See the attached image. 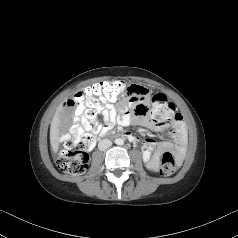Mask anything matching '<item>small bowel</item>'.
Instances as JSON below:
<instances>
[{"label": "small bowel", "mask_w": 238, "mask_h": 238, "mask_svg": "<svg viewBox=\"0 0 238 238\" xmlns=\"http://www.w3.org/2000/svg\"><path fill=\"white\" fill-rule=\"evenodd\" d=\"M150 98L149 90L143 86L133 85L125 100L119 104L112 103L97 104L96 112L102 115L103 123H99L90 119L85 115L81 108L75 109V121H80L85 127L88 122H93L95 125V134H106L115 125L128 126L138 125L146 127L155 132H165L169 130L172 140L164 142H155L152 139H145L142 142V154L149 166L156 170L159 165L161 155L166 152H174L178 159L184 153L186 145V129L180 115H175L171 122H157L151 117L152 110L148 105ZM66 106H72L71 101L66 103ZM76 132H81L80 128L73 126L71 128ZM130 134V133H127ZM131 135V134H130ZM70 134L63 133L59 136L60 142H66L70 139ZM93 147V143L89 148Z\"/></svg>", "instance_id": "c3829d8e"}]
</instances>
